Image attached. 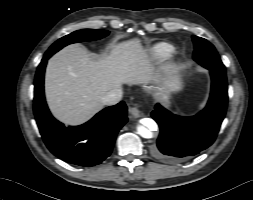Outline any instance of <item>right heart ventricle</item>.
<instances>
[{"label":"right heart ventricle","instance_id":"right-heart-ventricle-1","mask_svg":"<svg viewBox=\"0 0 253 200\" xmlns=\"http://www.w3.org/2000/svg\"><path fill=\"white\" fill-rule=\"evenodd\" d=\"M173 52V47L167 43H158L149 49L151 58L155 60L163 59Z\"/></svg>","mask_w":253,"mask_h":200}]
</instances>
